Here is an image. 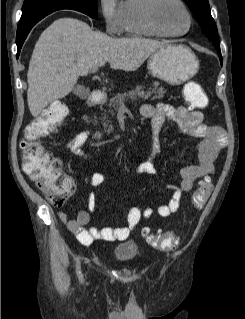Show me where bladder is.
I'll return each mask as SVG.
<instances>
[{
  "label": "bladder",
  "instance_id": "bladder-1",
  "mask_svg": "<svg viewBox=\"0 0 245 319\" xmlns=\"http://www.w3.org/2000/svg\"><path fill=\"white\" fill-rule=\"evenodd\" d=\"M139 254V247L132 239H125L121 241L113 249L114 257L122 262H130L135 260Z\"/></svg>",
  "mask_w": 245,
  "mask_h": 319
}]
</instances>
